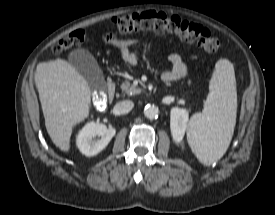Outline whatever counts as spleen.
<instances>
[{"mask_svg":"<svg viewBox=\"0 0 275 215\" xmlns=\"http://www.w3.org/2000/svg\"><path fill=\"white\" fill-rule=\"evenodd\" d=\"M209 94L202 113L194 114L188 124V143L205 166L218 161L231 142L237 113L236 79L233 64L220 59L209 83Z\"/></svg>","mask_w":275,"mask_h":215,"instance_id":"obj_1","label":"spleen"}]
</instances>
